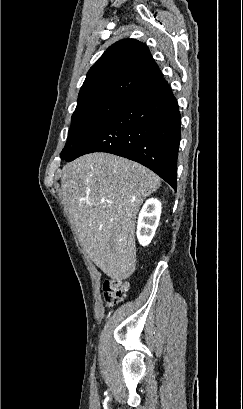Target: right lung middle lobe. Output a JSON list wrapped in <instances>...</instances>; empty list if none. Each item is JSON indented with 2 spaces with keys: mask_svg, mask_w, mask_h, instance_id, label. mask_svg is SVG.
<instances>
[{
  "mask_svg": "<svg viewBox=\"0 0 243 409\" xmlns=\"http://www.w3.org/2000/svg\"><path fill=\"white\" fill-rule=\"evenodd\" d=\"M125 99L107 98L78 103L68 132V141L60 154L66 159L72 151L97 131Z\"/></svg>",
  "mask_w": 243,
  "mask_h": 409,
  "instance_id": "right-lung-middle-lobe-1",
  "label": "right lung middle lobe"
}]
</instances>
